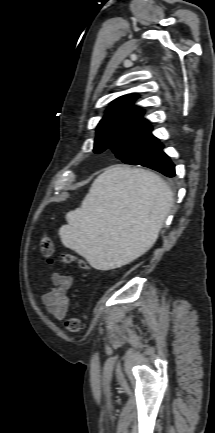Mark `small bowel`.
Instances as JSON below:
<instances>
[{
    "instance_id": "c3829d8e",
    "label": "small bowel",
    "mask_w": 215,
    "mask_h": 433,
    "mask_svg": "<svg viewBox=\"0 0 215 433\" xmlns=\"http://www.w3.org/2000/svg\"><path fill=\"white\" fill-rule=\"evenodd\" d=\"M51 282L52 286L43 294L42 302L52 319L60 321L65 318L68 311L67 292L72 286L73 277L68 274L52 272Z\"/></svg>"
}]
</instances>
